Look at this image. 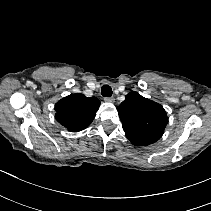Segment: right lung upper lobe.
<instances>
[{"instance_id":"cb5924a9","label":"right lung upper lobe","mask_w":211,"mask_h":211,"mask_svg":"<svg viewBox=\"0 0 211 211\" xmlns=\"http://www.w3.org/2000/svg\"><path fill=\"white\" fill-rule=\"evenodd\" d=\"M99 106L100 101L95 97L68 95L56 103L55 117L69 131L78 132L91 124Z\"/></svg>"}]
</instances>
